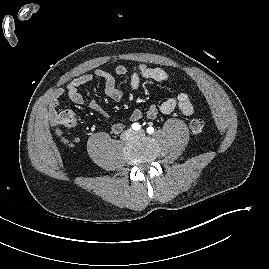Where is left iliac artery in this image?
Wrapping results in <instances>:
<instances>
[{"instance_id": "left-iliac-artery-1", "label": "left iliac artery", "mask_w": 269, "mask_h": 269, "mask_svg": "<svg viewBox=\"0 0 269 269\" xmlns=\"http://www.w3.org/2000/svg\"><path fill=\"white\" fill-rule=\"evenodd\" d=\"M154 132V128L153 127H148L147 128V133L152 134Z\"/></svg>"}]
</instances>
